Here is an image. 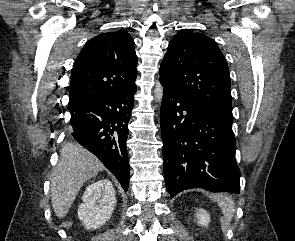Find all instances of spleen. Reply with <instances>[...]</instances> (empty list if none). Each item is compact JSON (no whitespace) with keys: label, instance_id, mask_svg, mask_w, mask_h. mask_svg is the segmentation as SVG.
<instances>
[{"label":"spleen","instance_id":"3e777b00","mask_svg":"<svg viewBox=\"0 0 295 241\" xmlns=\"http://www.w3.org/2000/svg\"><path fill=\"white\" fill-rule=\"evenodd\" d=\"M216 200L218 202L219 207L222 210L224 221L226 223H230L235 212L234 201L229 196L224 194L217 195Z\"/></svg>","mask_w":295,"mask_h":241}]
</instances>
